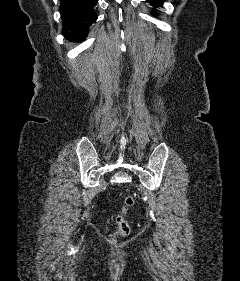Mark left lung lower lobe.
Wrapping results in <instances>:
<instances>
[{
    "label": "left lung lower lobe",
    "instance_id": "left-lung-lower-lobe-1",
    "mask_svg": "<svg viewBox=\"0 0 240 281\" xmlns=\"http://www.w3.org/2000/svg\"><path fill=\"white\" fill-rule=\"evenodd\" d=\"M152 6H161L165 0H147Z\"/></svg>",
    "mask_w": 240,
    "mask_h": 281
}]
</instances>
